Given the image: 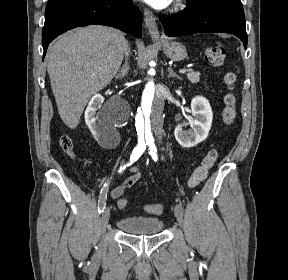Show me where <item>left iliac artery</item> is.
Returning <instances> with one entry per match:
<instances>
[{"mask_svg":"<svg viewBox=\"0 0 288 280\" xmlns=\"http://www.w3.org/2000/svg\"><path fill=\"white\" fill-rule=\"evenodd\" d=\"M148 145L150 147L149 154L151 155L152 159L157 162L158 156H157V149L153 141H149ZM175 200L179 203V207H184V199L181 196H176Z\"/></svg>","mask_w":288,"mask_h":280,"instance_id":"left-iliac-artery-1","label":"left iliac artery"}]
</instances>
